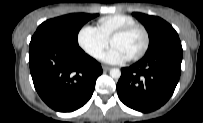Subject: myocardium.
Masks as SVG:
<instances>
[{
    "mask_svg": "<svg viewBox=\"0 0 203 123\" xmlns=\"http://www.w3.org/2000/svg\"><path fill=\"white\" fill-rule=\"evenodd\" d=\"M137 29L141 30L144 35V45L137 54H135L134 56L129 58V60H131V61H136V60L142 58L148 51L149 45H150V36H149L147 29L143 25L136 23V24L128 25V26L118 29L117 31H115L112 34V36L110 38V43L112 44V42L115 38L124 36Z\"/></svg>",
    "mask_w": 203,
    "mask_h": 123,
    "instance_id": "f54148a6",
    "label": "myocardium"
}]
</instances>
